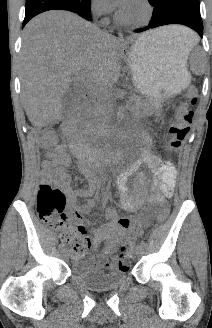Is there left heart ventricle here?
<instances>
[{
  "mask_svg": "<svg viewBox=\"0 0 212 328\" xmlns=\"http://www.w3.org/2000/svg\"><path fill=\"white\" fill-rule=\"evenodd\" d=\"M123 14L127 19L138 21L144 17L145 10L137 0H134L128 9L123 11Z\"/></svg>",
  "mask_w": 212,
  "mask_h": 328,
  "instance_id": "1",
  "label": "left heart ventricle"
}]
</instances>
